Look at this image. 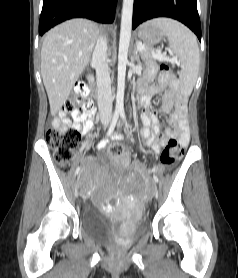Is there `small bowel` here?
<instances>
[{
    "mask_svg": "<svg viewBox=\"0 0 238 278\" xmlns=\"http://www.w3.org/2000/svg\"><path fill=\"white\" fill-rule=\"evenodd\" d=\"M157 65L149 63L144 79L140 85L139 105L142 108L141 143L149 147L154 153H159L170 138L176 137L182 146H187L190 139V131L186 119L187 92L182 91L175 79L166 87L165 82L159 78L157 84H151L157 74ZM163 94L162 104L159 112L169 113L168 124L170 127L163 128L158 119V111L151 105V98L155 95ZM52 126L58 129L68 127L75 128L81 135H86L94 130V111L89 113H78L60 111L53 118ZM113 138H120V135L114 134ZM107 141H102L99 148L106 146ZM123 166H133L140 168L139 163H131L127 154L123 159L118 161Z\"/></svg>",
    "mask_w": 238,
    "mask_h": 278,
    "instance_id": "c3829d8e",
    "label": "small bowel"
}]
</instances>
